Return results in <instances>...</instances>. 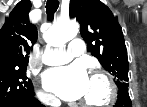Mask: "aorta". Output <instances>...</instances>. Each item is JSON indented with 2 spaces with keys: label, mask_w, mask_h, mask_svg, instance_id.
<instances>
[{
  "label": "aorta",
  "mask_w": 147,
  "mask_h": 107,
  "mask_svg": "<svg viewBox=\"0 0 147 107\" xmlns=\"http://www.w3.org/2000/svg\"><path fill=\"white\" fill-rule=\"evenodd\" d=\"M79 31L78 23L74 21L60 22L53 25L45 34V40L48 44L60 47L73 39Z\"/></svg>",
  "instance_id": "aorta-1"
}]
</instances>
